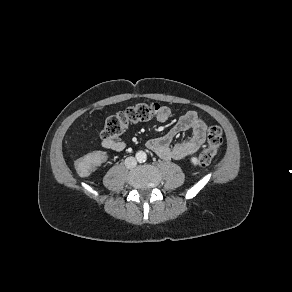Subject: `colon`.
<instances>
[{"label":"colon","instance_id":"5ec220e1","mask_svg":"<svg viewBox=\"0 0 292 292\" xmlns=\"http://www.w3.org/2000/svg\"><path fill=\"white\" fill-rule=\"evenodd\" d=\"M160 106L156 103H138L117 112L107 118L101 133L103 140H118L122 133L133 124L157 118ZM223 141V131L218 125L211 126L208 130V144L198 157L201 166L211 163ZM105 155L101 152L87 155L77 162V169L81 173H88L93 166L104 161Z\"/></svg>","mask_w":292,"mask_h":292}]
</instances>
